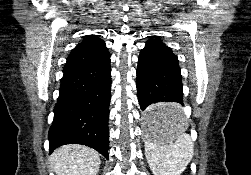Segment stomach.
Instances as JSON below:
<instances>
[{"label": "stomach", "instance_id": "1", "mask_svg": "<svg viewBox=\"0 0 251 175\" xmlns=\"http://www.w3.org/2000/svg\"><path fill=\"white\" fill-rule=\"evenodd\" d=\"M166 105H175V100H166ZM143 128L146 141H169V136H149V134H186L185 118L178 114H148V111H180V106H145ZM171 128V129H149Z\"/></svg>", "mask_w": 251, "mask_h": 175}]
</instances>
